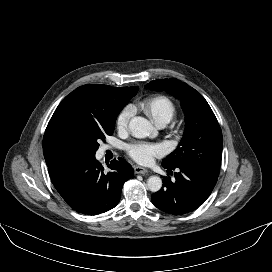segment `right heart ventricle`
Segmentation results:
<instances>
[{"label":"right heart ventricle","instance_id":"1","mask_svg":"<svg viewBox=\"0 0 272 272\" xmlns=\"http://www.w3.org/2000/svg\"><path fill=\"white\" fill-rule=\"evenodd\" d=\"M138 107L157 126L166 125L176 114L174 103L168 97L162 95L146 98L139 103Z\"/></svg>","mask_w":272,"mask_h":272}]
</instances>
